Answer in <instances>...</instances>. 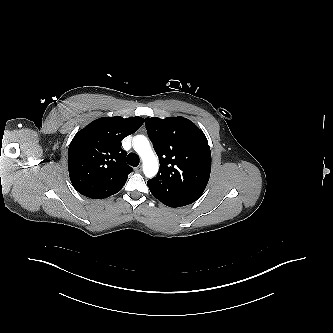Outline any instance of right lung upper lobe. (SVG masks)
I'll return each instance as SVG.
<instances>
[{"mask_svg":"<svg viewBox=\"0 0 333 333\" xmlns=\"http://www.w3.org/2000/svg\"><path fill=\"white\" fill-rule=\"evenodd\" d=\"M143 123L141 117H102L77 132L68 149V171L80 194L104 199L122 189L132 168L120 142Z\"/></svg>","mask_w":333,"mask_h":333,"instance_id":"1","label":"right lung upper lobe"}]
</instances>
